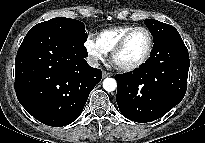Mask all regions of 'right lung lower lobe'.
Returning <instances> with one entry per match:
<instances>
[{"label":"right lung lower lobe","mask_w":205,"mask_h":143,"mask_svg":"<svg viewBox=\"0 0 205 143\" xmlns=\"http://www.w3.org/2000/svg\"><path fill=\"white\" fill-rule=\"evenodd\" d=\"M83 43L49 27L32 28L15 59V92L38 121L61 127L75 121L102 79Z\"/></svg>","instance_id":"obj_1"}]
</instances>
